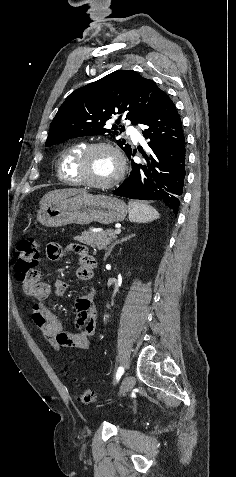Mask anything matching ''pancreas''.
Returning <instances> with one entry per match:
<instances>
[{
    "label": "pancreas",
    "mask_w": 236,
    "mask_h": 477,
    "mask_svg": "<svg viewBox=\"0 0 236 477\" xmlns=\"http://www.w3.org/2000/svg\"><path fill=\"white\" fill-rule=\"evenodd\" d=\"M116 235L112 230L102 231V232H89L84 231L81 236L75 237V240L87 244L92 248H97L98 250H103L109 245Z\"/></svg>",
    "instance_id": "cf45deb5"
}]
</instances>
